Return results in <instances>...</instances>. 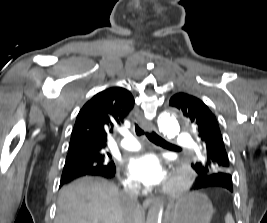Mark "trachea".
<instances>
[{
	"label": "trachea",
	"mask_w": 267,
	"mask_h": 223,
	"mask_svg": "<svg viewBox=\"0 0 267 223\" xmlns=\"http://www.w3.org/2000/svg\"><path fill=\"white\" fill-rule=\"evenodd\" d=\"M135 132L137 136H141L145 133L146 137L156 145L165 146V147H177L176 145H173L167 142L166 140H164L162 137H160L153 131L144 132V130L136 123H135Z\"/></svg>",
	"instance_id": "3493384b"
}]
</instances>
